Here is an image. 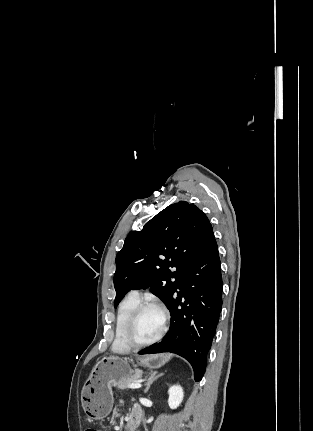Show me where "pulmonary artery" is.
<instances>
[{
	"instance_id": "e3ab8cb5",
	"label": "pulmonary artery",
	"mask_w": 313,
	"mask_h": 431,
	"mask_svg": "<svg viewBox=\"0 0 313 431\" xmlns=\"http://www.w3.org/2000/svg\"><path fill=\"white\" fill-rule=\"evenodd\" d=\"M130 294L133 295V296L139 297V298L141 297V293H140L139 290H132L130 292Z\"/></svg>"
}]
</instances>
